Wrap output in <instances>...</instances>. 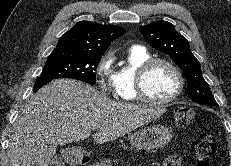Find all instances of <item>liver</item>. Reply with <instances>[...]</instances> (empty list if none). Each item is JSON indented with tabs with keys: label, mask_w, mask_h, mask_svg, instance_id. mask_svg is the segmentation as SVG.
Wrapping results in <instances>:
<instances>
[{
	"label": "liver",
	"mask_w": 231,
	"mask_h": 166,
	"mask_svg": "<svg viewBox=\"0 0 231 166\" xmlns=\"http://www.w3.org/2000/svg\"><path fill=\"white\" fill-rule=\"evenodd\" d=\"M164 107L115 102L94 87L56 79L42 87L21 109L13 125L8 166H48L58 145L87 139L103 144L148 124Z\"/></svg>",
	"instance_id": "obj_1"
}]
</instances>
